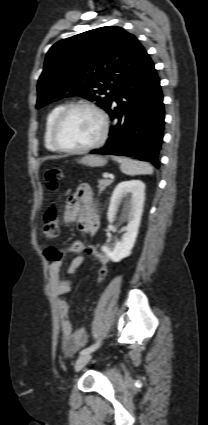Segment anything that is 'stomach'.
Listing matches in <instances>:
<instances>
[{"mask_svg":"<svg viewBox=\"0 0 208 425\" xmlns=\"http://www.w3.org/2000/svg\"><path fill=\"white\" fill-rule=\"evenodd\" d=\"M79 163L89 167H102L106 164V159L97 155H86L78 160Z\"/></svg>","mask_w":208,"mask_h":425,"instance_id":"obj_1","label":"stomach"}]
</instances>
